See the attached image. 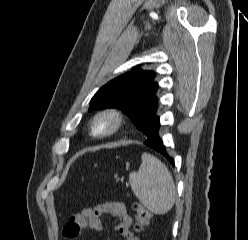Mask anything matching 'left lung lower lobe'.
Instances as JSON below:
<instances>
[{
  "label": "left lung lower lobe",
  "instance_id": "1",
  "mask_svg": "<svg viewBox=\"0 0 248 240\" xmlns=\"http://www.w3.org/2000/svg\"><path fill=\"white\" fill-rule=\"evenodd\" d=\"M159 129H160V119L159 116H155L150 124L149 130L146 133V140L144 144L157 151L158 153L162 154L164 157L168 159V161L174 165V159L170 157L166 151L165 146L163 145L162 139L159 136Z\"/></svg>",
  "mask_w": 248,
  "mask_h": 240
}]
</instances>
